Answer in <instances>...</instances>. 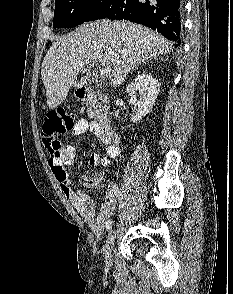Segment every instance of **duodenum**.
<instances>
[{
    "label": "duodenum",
    "instance_id": "obj_1",
    "mask_svg": "<svg viewBox=\"0 0 233 294\" xmlns=\"http://www.w3.org/2000/svg\"><path fill=\"white\" fill-rule=\"evenodd\" d=\"M78 98L83 101L87 106L91 107L96 102V96L89 88L81 87L77 90ZM98 121L102 131L110 138H115L116 133L112 127L111 120L106 112L101 111L98 115Z\"/></svg>",
    "mask_w": 233,
    "mask_h": 294
}]
</instances>
